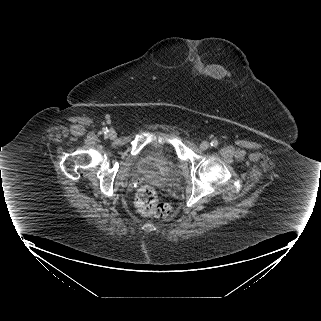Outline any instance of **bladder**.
Listing matches in <instances>:
<instances>
[{
    "mask_svg": "<svg viewBox=\"0 0 321 321\" xmlns=\"http://www.w3.org/2000/svg\"><path fill=\"white\" fill-rule=\"evenodd\" d=\"M171 149L166 146H153L147 149L138 162V171L155 179L170 177L175 169Z\"/></svg>",
    "mask_w": 321,
    "mask_h": 321,
    "instance_id": "1",
    "label": "bladder"
}]
</instances>
